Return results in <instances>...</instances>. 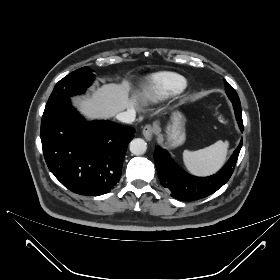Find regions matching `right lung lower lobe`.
I'll use <instances>...</instances> for the list:
<instances>
[{"label":"right lung lower lobe","mask_w":280,"mask_h":280,"mask_svg":"<svg viewBox=\"0 0 280 280\" xmlns=\"http://www.w3.org/2000/svg\"><path fill=\"white\" fill-rule=\"evenodd\" d=\"M135 129L110 121L86 124L70 99L46 106L41 142L46 164L69 190L86 196L110 192L120 179Z\"/></svg>","instance_id":"obj_1"}]
</instances>
